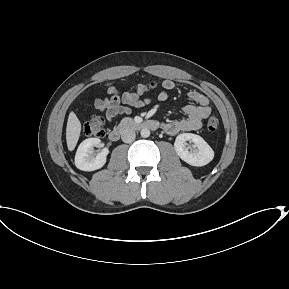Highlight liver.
<instances>
[{"label":"liver","instance_id":"obj_1","mask_svg":"<svg viewBox=\"0 0 289 289\" xmlns=\"http://www.w3.org/2000/svg\"><path fill=\"white\" fill-rule=\"evenodd\" d=\"M81 133V123L74 112H70L66 127V142L69 151L74 150Z\"/></svg>","mask_w":289,"mask_h":289}]
</instances>
